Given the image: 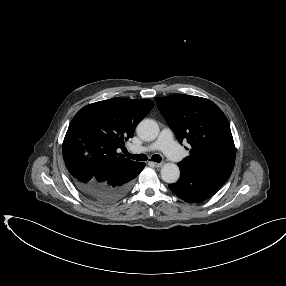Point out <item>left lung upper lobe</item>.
Listing matches in <instances>:
<instances>
[{"mask_svg":"<svg viewBox=\"0 0 286 286\" xmlns=\"http://www.w3.org/2000/svg\"><path fill=\"white\" fill-rule=\"evenodd\" d=\"M155 101L178 141L191 146L190 156L178 166L225 184L234 168L235 146L221 109L208 99L185 94Z\"/></svg>","mask_w":286,"mask_h":286,"instance_id":"obj_1","label":"left lung upper lobe"}]
</instances>
